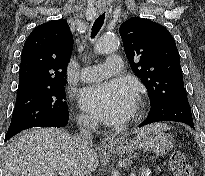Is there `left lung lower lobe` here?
I'll use <instances>...</instances> for the list:
<instances>
[{
	"mask_svg": "<svg viewBox=\"0 0 205 176\" xmlns=\"http://www.w3.org/2000/svg\"><path fill=\"white\" fill-rule=\"evenodd\" d=\"M159 121L182 122L195 129L187 93L178 95L174 100L164 105L152 106L146 120L138 127Z\"/></svg>",
	"mask_w": 205,
	"mask_h": 176,
	"instance_id": "obj_1",
	"label": "left lung lower lobe"
}]
</instances>
